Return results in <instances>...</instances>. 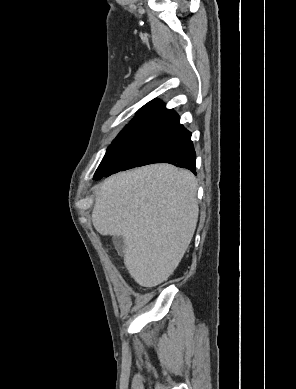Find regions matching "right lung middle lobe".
Returning a JSON list of instances; mask_svg holds the SVG:
<instances>
[{
    "mask_svg": "<svg viewBox=\"0 0 296 389\" xmlns=\"http://www.w3.org/2000/svg\"><path fill=\"white\" fill-rule=\"evenodd\" d=\"M178 125L179 120L168 118H134L108 148L96 173L140 166L150 150Z\"/></svg>",
    "mask_w": 296,
    "mask_h": 389,
    "instance_id": "obj_1",
    "label": "right lung middle lobe"
}]
</instances>
